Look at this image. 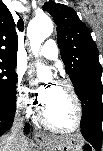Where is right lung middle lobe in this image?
<instances>
[{
  "label": "right lung middle lobe",
  "mask_w": 103,
  "mask_h": 151,
  "mask_svg": "<svg viewBox=\"0 0 103 151\" xmlns=\"http://www.w3.org/2000/svg\"><path fill=\"white\" fill-rule=\"evenodd\" d=\"M16 64L0 62V103L11 107L16 106Z\"/></svg>",
  "instance_id": "right-lung-middle-lobe-1"
}]
</instances>
